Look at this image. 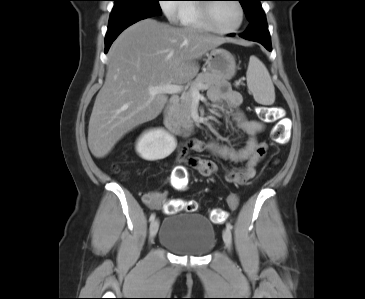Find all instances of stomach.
I'll return each instance as SVG.
<instances>
[{"label":"stomach","instance_id":"stomach-1","mask_svg":"<svg viewBox=\"0 0 365 299\" xmlns=\"http://www.w3.org/2000/svg\"><path fill=\"white\" fill-rule=\"evenodd\" d=\"M206 55L207 68L211 73L227 79L235 75V57L229 51L221 48H214Z\"/></svg>","mask_w":365,"mask_h":299}]
</instances>
